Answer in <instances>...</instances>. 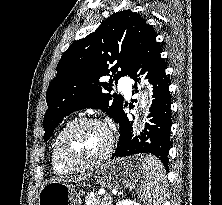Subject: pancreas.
Instances as JSON below:
<instances>
[{"mask_svg":"<svg viewBox=\"0 0 222 205\" xmlns=\"http://www.w3.org/2000/svg\"><path fill=\"white\" fill-rule=\"evenodd\" d=\"M113 199L110 195L106 194L102 197L86 196L85 205H111Z\"/></svg>","mask_w":222,"mask_h":205,"instance_id":"1","label":"pancreas"}]
</instances>
